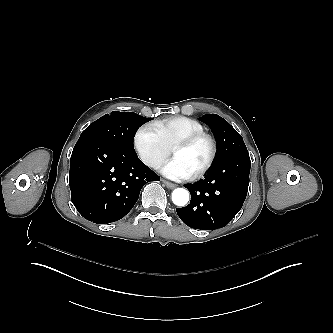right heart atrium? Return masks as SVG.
I'll use <instances>...</instances> for the list:
<instances>
[{"label": "right heart atrium", "instance_id": "1", "mask_svg": "<svg viewBox=\"0 0 333 333\" xmlns=\"http://www.w3.org/2000/svg\"><path fill=\"white\" fill-rule=\"evenodd\" d=\"M134 148L143 163L152 170H157L171 152L152 124H146L139 129L134 139Z\"/></svg>", "mask_w": 333, "mask_h": 333}]
</instances>
